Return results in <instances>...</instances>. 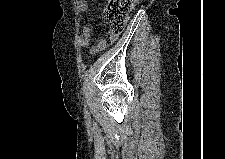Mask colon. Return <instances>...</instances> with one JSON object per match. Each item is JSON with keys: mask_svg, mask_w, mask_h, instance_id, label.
Instances as JSON below:
<instances>
[{"mask_svg": "<svg viewBox=\"0 0 225 159\" xmlns=\"http://www.w3.org/2000/svg\"><path fill=\"white\" fill-rule=\"evenodd\" d=\"M137 0H108L104 8V19L113 35L120 34Z\"/></svg>", "mask_w": 225, "mask_h": 159, "instance_id": "1", "label": "colon"}]
</instances>
